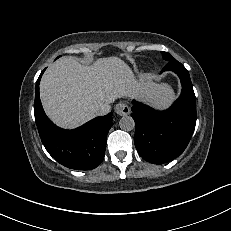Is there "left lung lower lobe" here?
Here are the masks:
<instances>
[{"mask_svg":"<svg viewBox=\"0 0 231 231\" xmlns=\"http://www.w3.org/2000/svg\"><path fill=\"white\" fill-rule=\"evenodd\" d=\"M166 70L179 76L182 84L180 97L165 111H156L133 101L131 114L136 124V149L142 158L153 164H163L181 155L196 124V100L187 69L173 60L162 72Z\"/></svg>","mask_w":231,"mask_h":231,"instance_id":"1","label":"left lung lower lobe"}]
</instances>
